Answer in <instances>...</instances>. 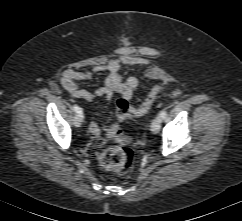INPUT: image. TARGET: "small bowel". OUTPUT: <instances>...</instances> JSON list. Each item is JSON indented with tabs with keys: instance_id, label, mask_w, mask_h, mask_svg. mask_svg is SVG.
<instances>
[{
	"instance_id": "1",
	"label": "small bowel",
	"mask_w": 242,
	"mask_h": 221,
	"mask_svg": "<svg viewBox=\"0 0 242 221\" xmlns=\"http://www.w3.org/2000/svg\"><path fill=\"white\" fill-rule=\"evenodd\" d=\"M139 57L128 51H123L117 58L111 59L107 64L94 67L90 71H77L65 69L61 76L62 87L75 99L93 101L97 98L105 97L112 99L116 94L121 95L125 100H129L134 92L142 87V81L137 77L123 79L120 70L123 65L139 64ZM106 73L104 85L95 91H87L78 86L79 81H88L96 76ZM89 130L93 135H99L101 126L96 121H91Z\"/></svg>"
}]
</instances>
